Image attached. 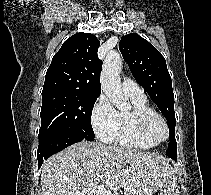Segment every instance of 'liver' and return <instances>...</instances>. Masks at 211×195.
<instances>
[{
    "mask_svg": "<svg viewBox=\"0 0 211 195\" xmlns=\"http://www.w3.org/2000/svg\"><path fill=\"white\" fill-rule=\"evenodd\" d=\"M172 174L157 154L82 141L46 160L40 181L42 195H89L99 186L153 195Z\"/></svg>",
    "mask_w": 211,
    "mask_h": 195,
    "instance_id": "liver-1",
    "label": "liver"
}]
</instances>
